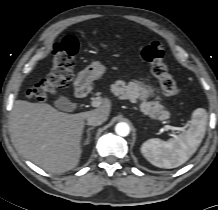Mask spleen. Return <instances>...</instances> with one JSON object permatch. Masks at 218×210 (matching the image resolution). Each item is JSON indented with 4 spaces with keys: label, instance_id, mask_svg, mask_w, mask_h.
Here are the masks:
<instances>
[{
    "label": "spleen",
    "instance_id": "1",
    "mask_svg": "<svg viewBox=\"0 0 218 210\" xmlns=\"http://www.w3.org/2000/svg\"><path fill=\"white\" fill-rule=\"evenodd\" d=\"M207 112L197 108L192 113L189 128L169 139H149L143 143L141 152L154 166L164 169L176 168L184 164L197 150L205 135Z\"/></svg>",
    "mask_w": 218,
    "mask_h": 210
}]
</instances>
